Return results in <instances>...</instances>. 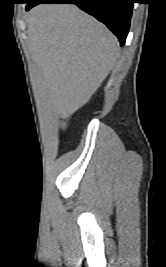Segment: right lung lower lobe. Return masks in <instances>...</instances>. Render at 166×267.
I'll return each instance as SVG.
<instances>
[{
  "label": "right lung lower lobe",
  "instance_id": "98d812e1",
  "mask_svg": "<svg viewBox=\"0 0 166 267\" xmlns=\"http://www.w3.org/2000/svg\"><path fill=\"white\" fill-rule=\"evenodd\" d=\"M40 3H73L103 22L124 45L133 9V0H29L26 10Z\"/></svg>",
  "mask_w": 166,
  "mask_h": 267
}]
</instances>
